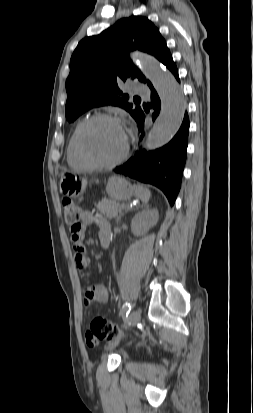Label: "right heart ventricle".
Here are the masks:
<instances>
[{"mask_svg":"<svg viewBox=\"0 0 253 413\" xmlns=\"http://www.w3.org/2000/svg\"><path fill=\"white\" fill-rule=\"evenodd\" d=\"M84 121L85 120L82 119L76 124L70 136V139L68 141L67 149H66V156H67L68 164L78 169L90 168V166L80 157L78 150H77V144H76L78 130Z\"/></svg>","mask_w":253,"mask_h":413,"instance_id":"1","label":"right heart ventricle"}]
</instances>
